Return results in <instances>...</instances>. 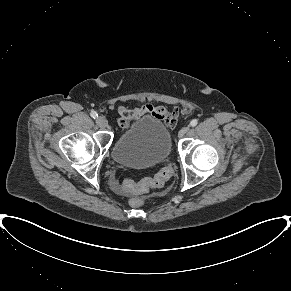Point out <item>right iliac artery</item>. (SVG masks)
I'll return each instance as SVG.
<instances>
[{
  "instance_id": "1",
  "label": "right iliac artery",
  "mask_w": 291,
  "mask_h": 291,
  "mask_svg": "<svg viewBox=\"0 0 291 291\" xmlns=\"http://www.w3.org/2000/svg\"><path fill=\"white\" fill-rule=\"evenodd\" d=\"M90 115H91V117L94 118V119H96V118L98 117V114H97L96 111H92V112L90 113Z\"/></svg>"
}]
</instances>
